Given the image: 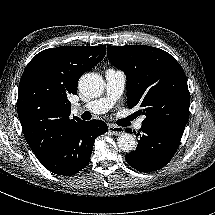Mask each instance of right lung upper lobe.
Wrapping results in <instances>:
<instances>
[{
  "label": "right lung upper lobe",
  "instance_id": "right-lung-upper-lobe-1",
  "mask_svg": "<svg viewBox=\"0 0 215 215\" xmlns=\"http://www.w3.org/2000/svg\"><path fill=\"white\" fill-rule=\"evenodd\" d=\"M106 46H61L38 53L19 84L17 109L24 136L42 161L70 125L71 103L80 76L98 64Z\"/></svg>",
  "mask_w": 215,
  "mask_h": 215
}]
</instances>
